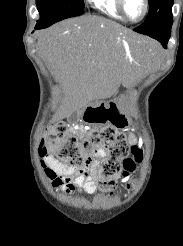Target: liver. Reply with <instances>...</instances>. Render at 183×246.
Instances as JSON below:
<instances>
[{
  "instance_id": "6515ba94",
  "label": "liver",
  "mask_w": 183,
  "mask_h": 246,
  "mask_svg": "<svg viewBox=\"0 0 183 246\" xmlns=\"http://www.w3.org/2000/svg\"><path fill=\"white\" fill-rule=\"evenodd\" d=\"M38 48L62 85L69 114L139 79L157 45L114 21L85 15L40 31Z\"/></svg>"
}]
</instances>
